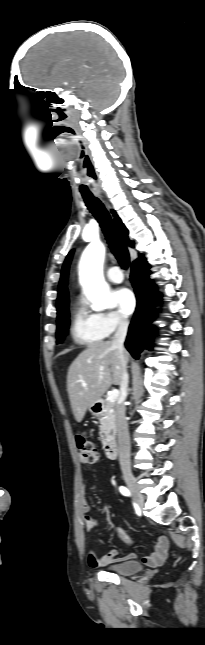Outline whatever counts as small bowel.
I'll return each instance as SVG.
<instances>
[{
    "label": "small bowel",
    "instance_id": "c3829d8e",
    "mask_svg": "<svg viewBox=\"0 0 205 645\" xmlns=\"http://www.w3.org/2000/svg\"><path fill=\"white\" fill-rule=\"evenodd\" d=\"M81 463H85L86 460L83 459L82 457L80 458ZM83 510L87 512L89 510V504L86 500L83 501L82 504ZM95 524H91L88 521V518L86 519V527L87 529H91L94 527ZM116 533L117 535L126 543H132L131 537L121 528H116ZM168 549H169V541L165 536H158L156 538L154 550L151 554L146 555L142 557V562L148 566L156 567L161 564H163L167 557H168ZM136 558L135 553H130L125 556H119V551L117 549H112L109 551L105 556L101 558H97L95 553L93 551H89L88 556H87V561L89 566L96 568L104 565H108L111 563L119 562V561H125V560H133Z\"/></svg>",
    "mask_w": 205,
    "mask_h": 645
}]
</instances>
